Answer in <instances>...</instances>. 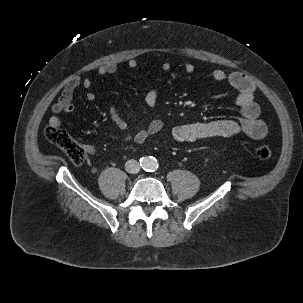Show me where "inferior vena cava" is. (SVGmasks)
Wrapping results in <instances>:
<instances>
[{
  "mask_svg": "<svg viewBox=\"0 0 303 303\" xmlns=\"http://www.w3.org/2000/svg\"><path fill=\"white\" fill-rule=\"evenodd\" d=\"M125 169L128 173L136 174L140 171L139 162L134 159L128 160L125 164Z\"/></svg>",
  "mask_w": 303,
  "mask_h": 303,
  "instance_id": "602c4592",
  "label": "inferior vena cava"
}]
</instances>
